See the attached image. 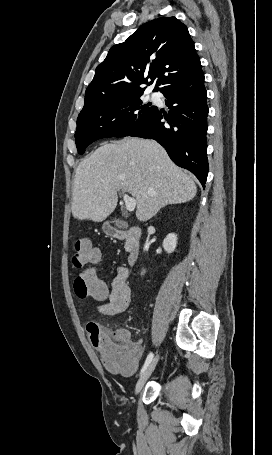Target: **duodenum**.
I'll return each instance as SVG.
<instances>
[{"label": "duodenum", "mask_w": 272, "mask_h": 455, "mask_svg": "<svg viewBox=\"0 0 272 455\" xmlns=\"http://www.w3.org/2000/svg\"><path fill=\"white\" fill-rule=\"evenodd\" d=\"M109 233L117 239L127 240V261L130 265H135L140 254L141 229L136 226H132L127 229L112 226L109 228Z\"/></svg>", "instance_id": "obj_1"}]
</instances>
